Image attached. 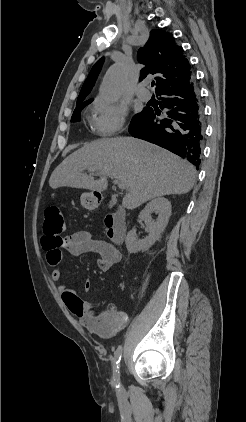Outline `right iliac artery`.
Here are the masks:
<instances>
[{"instance_id": "1", "label": "right iliac artery", "mask_w": 246, "mask_h": 422, "mask_svg": "<svg viewBox=\"0 0 246 422\" xmlns=\"http://www.w3.org/2000/svg\"><path fill=\"white\" fill-rule=\"evenodd\" d=\"M122 355V346H119L114 355V367H113V383L114 386L120 388V375H119V363Z\"/></svg>"}]
</instances>
